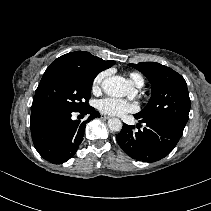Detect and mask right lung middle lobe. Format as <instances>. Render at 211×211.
Here are the masks:
<instances>
[{
    "label": "right lung middle lobe",
    "mask_w": 211,
    "mask_h": 211,
    "mask_svg": "<svg viewBox=\"0 0 211 211\" xmlns=\"http://www.w3.org/2000/svg\"><path fill=\"white\" fill-rule=\"evenodd\" d=\"M98 72L76 66L50 65L36 90L31 113L78 112L89 107L91 87Z\"/></svg>",
    "instance_id": "dd1d6c3e"
}]
</instances>
